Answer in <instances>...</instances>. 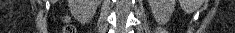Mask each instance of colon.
<instances>
[{"label": "colon", "mask_w": 235, "mask_h": 33, "mask_svg": "<svg viewBox=\"0 0 235 33\" xmlns=\"http://www.w3.org/2000/svg\"><path fill=\"white\" fill-rule=\"evenodd\" d=\"M64 32H65V33H72V32H74V30H73L72 27L67 26V27L64 28Z\"/></svg>", "instance_id": "1"}]
</instances>
